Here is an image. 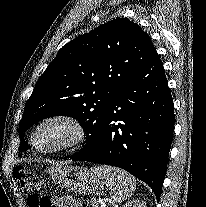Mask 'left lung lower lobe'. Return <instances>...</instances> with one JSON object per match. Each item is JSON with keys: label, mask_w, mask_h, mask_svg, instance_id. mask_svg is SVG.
<instances>
[{"label": "left lung lower lobe", "mask_w": 206, "mask_h": 207, "mask_svg": "<svg viewBox=\"0 0 206 207\" xmlns=\"http://www.w3.org/2000/svg\"><path fill=\"white\" fill-rule=\"evenodd\" d=\"M173 129V100L155 51L108 106L93 145L72 160L120 167L148 184L159 201Z\"/></svg>", "instance_id": "left-lung-lower-lobe-1"}]
</instances>
